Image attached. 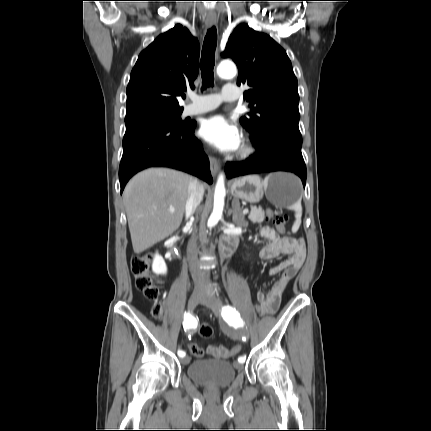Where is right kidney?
<instances>
[{
    "instance_id": "ca27d5eb",
    "label": "right kidney",
    "mask_w": 431,
    "mask_h": 431,
    "mask_svg": "<svg viewBox=\"0 0 431 431\" xmlns=\"http://www.w3.org/2000/svg\"><path fill=\"white\" fill-rule=\"evenodd\" d=\"M152 269L156 274L164 275L167 273V267H166L165 261L159 254H156L154 256Z\"/></svg>"
}]
</instances>
